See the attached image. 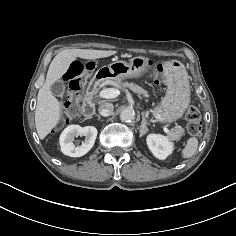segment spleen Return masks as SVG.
<instances>
[{
	"mask_svg": "<svg viewBox=\"0 0 236 236\" xmlns=\"http://www.w3.org/2000/svg\"><path fill=\"white\" fill-rule=\"evenodd\" d=\"M197 147H198L197 138L195 137L189 138L187 140L185 148L182 150V157L185 159L192 157L196 153Z\"/></svg>",
	"mask_w": 236,
	"mask_h": 236,
	"instance_id": "3e777b00",
	"label": "spleen"
}]
</instances>
